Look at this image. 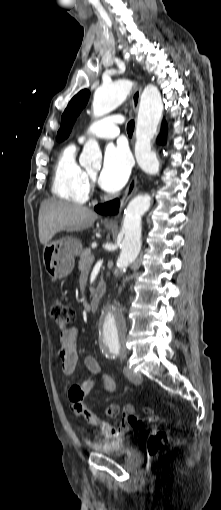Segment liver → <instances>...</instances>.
<instances>
[{
	"label": "liver",
	"instance_id": "liver-1",
	"mask_svg": "<svg viewBox=\"0 0 221 510\" xmlns=\"http://www.w3.org/2000/svg\"><path fill=\"white\" fill-rule=\"evenodd\" d=\"M98 218L93 210L62 200L47 199L39 209V240L46 245L59 232L87 229Z\"/></svg>",
	"mask_w": 221,
	"mask_h": 510
}]
</instances>
